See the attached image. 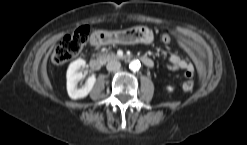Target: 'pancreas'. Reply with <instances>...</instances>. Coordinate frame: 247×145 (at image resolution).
Masks as SVG:
<instances>
[{"mask_svg":"<svg viewBox=\"0 0 247 145\" xmlns=\"http://www.w3.org/2000/svg\"><path fill=\"white\" fill-rule=\"evenodd\" d=\"M104 62H108L111 59H117L118 56L114 53H110V54H102L99 56Z\"/></svg>","mask_w":247,"mask_h":145,"instance_id":"obj_1","label":"pancreas"}]
</instances>
